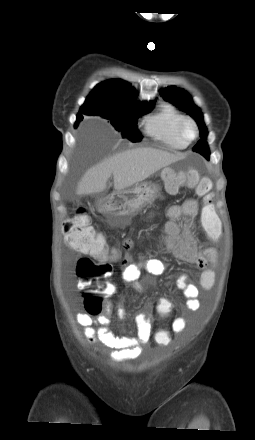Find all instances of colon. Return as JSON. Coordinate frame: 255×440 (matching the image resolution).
<instances>
[{
    "label": "colon",
    "instance_id": "obj_1",
    "mask_svg": "<svg viewBox=\"0 0 255 440\" xmlns=\"http://www.w3.org/2000/svg\"><path fill=\"white\" fill-rule=\"evenodd\" d=\"M165 189L169 193L177 192L180 186H185L188 189L194 190L197 196L204 199L201 212L200 221L202 226L214 232V225L217 227V213L213 204V196L210 193L211 183L208 178H201L199 172L195 169L186 171H166L163 175ZM63 232L66 243L81 254L91 253L94 257L101 260L95 262L87 256H79L76 260V270L79 283L85 290L87 300V308L90 313L96 314L100 311V301L108 297L114 290L109 283V278L112 272V265L105 260L110 258L112 260H119L120 253L110 248L104 237L96 234L91 226V219L83 210H79L73 217L67 219L63 223ZM99 284H101L99 286ZM99 286L96 289L90 290V286ZM173 298H155L154 304L158 306L159 314L161 316H168L170 311L174 308ZM169 330H156L152 339L157 342L158 348H167L170 345Z\"/></svg>",
    "mask_w": 255,
    "mask_h": 440
}]
</instances>
